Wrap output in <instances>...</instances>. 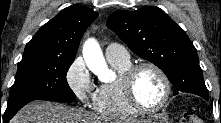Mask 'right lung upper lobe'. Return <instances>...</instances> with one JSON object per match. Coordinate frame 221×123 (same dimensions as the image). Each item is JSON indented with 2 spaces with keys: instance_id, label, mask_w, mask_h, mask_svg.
I'll use <instances>...</instances> for the list:
<instances>
[{
  "instance_id": "1",
  "label": "right lung upper lobe",
  "mask_w": 221,
  "mask_h": 123,
  "mask_svg": "<svg viewBox=\"0 0 221 123\" xmlns=\"http://www.w3.org/2000/svg\"><path fill=\"white\" fill-rule=\"evenodd\" d=\"M97 17V12L81 5L63 9L39 29L23 55L75 57L85 30Z\"/></svg>"
}]
</instances>
